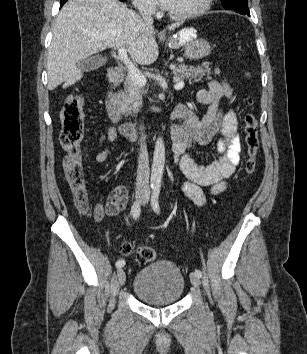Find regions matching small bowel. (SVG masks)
Masks as SVG:
<instances>
[{
    "label": "small bowel",
    "instance_id": "c3829d8e",
    "mask_svg": "<svg viewBox=\"0 0 307 354\" xmlns=\"http://www.w3.org/2000/svg\"><path fill=\"white\" fill-rule=\"evenodd\" d=\"M232 90L225 80H213L207 89H201L196 94V101L208 106L203 117L185 105L175 108V116L181 118L183 123L174 126L170 131L175 163L178 164L186 180L181 184L182 193L196 206H203L207 197L203 190L209 187L210 193L217 195L226 188L225 180L230 177L240 160L241 144L237 130L236 114L229 110L222 112L220 102L230 97ZM220 130L221 137L217 142L219 159L208 165H198L190 155L194 145L209 143L216 132ZM118 136L115 126H109L98 139L100 150L95 155L98 163L105 162L111 152L110 146ZM128 203V193L124 186L114 188L105 202L104 209L99 208L101 215H115L123 210Z\"/></svg>",
    "mask_w": 307,
    "mask_h": 354
}]
</instances>
